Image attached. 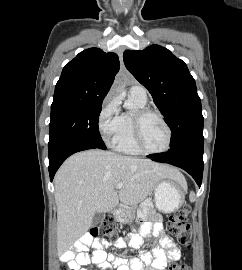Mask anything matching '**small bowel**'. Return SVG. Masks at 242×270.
Returning <instances> with one entry per match:
<instances>
[{"mask_svg":"<svg viewBox=\"0 0 242 270\" xmlns=\"http://www.w3.org/2000/svg\"><path fill=\"white\" fill-rule=\"evenodd\" d=\"M146 212H142L140 218L144 220ZM159 238L153 243L151 251L141 249L144 239ZM109 246L107 241H99L91 238L88 234L81 237L74 248L63 254L61 264L68 270H90L87 266L92 265L102 270H112V266L117 270H165L169 262L177 261L181 257V251L177 245L164 234L161 217L152 220H144L140 233H131L126 239H119L115 247L123 249L130 246L141 249L139 257L121 258L108 255L105 248ZM89 247L94 249L92 255L86 251Z\"/></svg>","mask_w":242,"mask_h":270,"instance_id":"small-bowel-1","label":"small bowel"}]
</instances>
